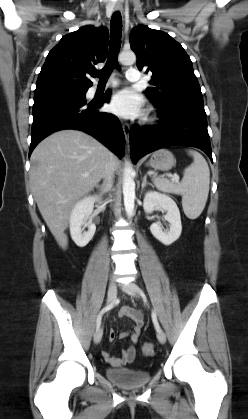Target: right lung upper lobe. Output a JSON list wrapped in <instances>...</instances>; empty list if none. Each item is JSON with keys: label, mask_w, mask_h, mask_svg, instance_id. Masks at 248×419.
Returning a JSON list of instances; mask_svg holds the SVG:
<instances>
[{"label": "right lung upper lobe", "mask_w": 248, "mask_h": 419, "mask_svg": "<svg viewBox=\"0 0 248 419\" xmlns=\"http://www.w3.org/2000/svg\"><path fill=\"white\" fill-rule=\"evenodd\" d=\"M108 40L107 29L92 25L63 36L46 58L36 82L34 96L67 90H88L92 82L86 75L97 72L94 65L105 61Z\"/></svg>", "instance_id": "1"}]
</instances>
